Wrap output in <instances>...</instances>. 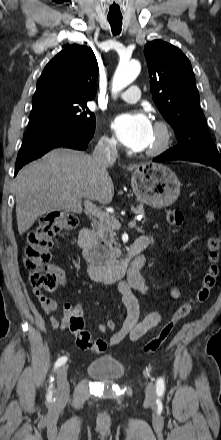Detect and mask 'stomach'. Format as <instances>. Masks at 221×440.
<instances>
[{
	"mask_svg": "<svg viewBox=\"0 0 221 440\" xmlns=\"http://www.w3.org/2000/svg\"><path fill=\"white\" fill-rule=\"evenodd\" d=\"M131 186L141 202L164 208L177 200L181 183L169 167L159 163H143L134 169Z\"/></svg>",
	"mask_w": 221,
	"mask_h": 440,
	"instance_id": "1",
	"label": "stomach"
}]
</instances>
